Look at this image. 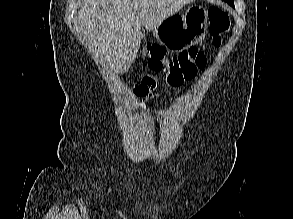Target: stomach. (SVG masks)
Returning <instances> with one entry per match:
<instances>
[{"instance_id":"0dacf381","label":"stomach","mask_w":293,"mask_h":219,"mask_svg":"<svg viewBox=\"0 0 293 219\" xmlns=\"http://www.w3.org/2000/svg\"><path fill=\"white\" fill-rule=\"evenodd\" d=\"M208 25L206 10L191 6L184 15H172L152 30L153 36L166 48L180 52L192 44L201 42Z\"/></svg>"}]
</instances>
